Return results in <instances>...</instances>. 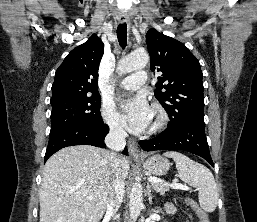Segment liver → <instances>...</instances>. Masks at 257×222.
I'll use <instances>...</instances> for the list:
<instances>
[{"label": "liver", "mask_w": 257, "mask_h": 222, "mask_svg": "<svg viewBox=\"0 0 257 222\" xmlns=\"http://www.w3.org/2000/svg\"><path fill=\"white\" fill-rule=\"evenodd\" d=\"M123 180L129 162L118 157ZM112 175L106 151L90 146L65 147L45 164L40 188V222H99L106 210ZM93 199L89 200L88 197Z\"/></svg>", "instance_id": "obj_1"}]
</instances>
